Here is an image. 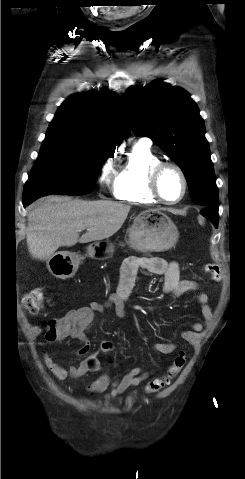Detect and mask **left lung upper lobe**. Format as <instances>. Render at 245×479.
<instances>
[{
    "label": "left lung upper lobe",
    "instance_id": "obj_1",
    "mask_svg": "<svg viewBox=\"0 0 245 479\" xmlns=\"http://www.w3.org/2000/svg\"><path fill=\"white\" fill-rule=\"evenodd\" d=\"M124 105L133 130L150 137L182 169L191 199L203 208L217 204L218 188L204 122L189 94L153 81L144 88H130Z\"/></svg>",
    "mask_w": 245,
    "mask_h": 479
}]
</instances>
